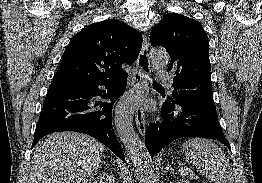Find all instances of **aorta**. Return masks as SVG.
Here are the masks:
<instances>
[{
    "label": "aorta",
    "instance_id": "762f6f07",
    "mask_svg": "<svg viewBox=\"0 0 262 183\" xmlns=\"http://www.w3.org/2000/svg\"><path fill=\"white\" fill-rule=\"evenodd\" d=\"M150 58L154 69L166 67L169 62V55L164 49H152ZM143 95L142 89L133 88L121 97L115 110V126L131 156L138 177L146 181L153 172V164L145 145L132 125V116Z\"/></svg>",
    "mask_w": 262,
    "mask_h": 183
}]
</instances>
